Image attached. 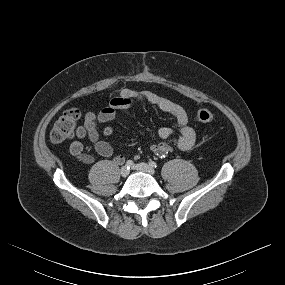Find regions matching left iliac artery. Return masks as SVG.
I'll use <instances>...</instances> for the list:
<instances>
[{
	"label": "left iliac artery",
	"mask_w": 285,
	"mask_h": 285,
	"mask_svg": "<svg viewBox=\"0 0 285 285\" xmlns=\"http://www.w3.org/2000/svg\"><path fill=\"white\" fill-rule=\"evenodd\" d=\"M149 165H150L151 167H153V168H156V167H157V163L154 162V161H150V162H149Z\"/></svg>",
	"instance_id": "1"
}]
</instances>
